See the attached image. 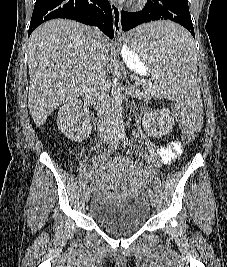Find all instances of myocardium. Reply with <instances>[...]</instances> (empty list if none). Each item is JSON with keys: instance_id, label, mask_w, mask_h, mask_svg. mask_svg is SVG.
I'll list each match as a JSON object with an SVG mask.
<instances>
[{"instance_id": "f54148a6", "label": "myocardium", "mask_w": 227, "mask_h": 267, "mask_svg": "<svg viewBox=\"0 0 227 267\" xmlns=\"http://www.w3.org/2000/svg\"><path fill=\"white\" fill-rule=\"evenodd\" d=\"M144 2V0H139V5H141Z\"/></svg>"}]
</instances>
